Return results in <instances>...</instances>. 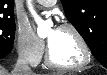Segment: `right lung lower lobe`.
I'll return each instance as SVG.
<instances>
[{"label":"right lung lower lobe","instance_id":"obj_1","mask_svg":"<svg viewBox=\"0 0 107 75\" xmlns=\"http://www.w3.org/2000/svg\"><path fill=\"white\" fill-rule=\"evenodd\" d=\"M10 52H11V50H9V49L0 50V58L7 56Z\"/></svg>","mask_w":107,"mask_h":75}]
</instances>
